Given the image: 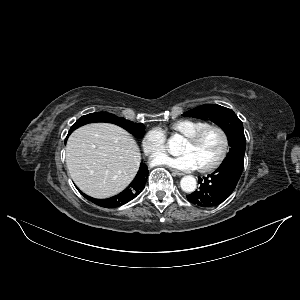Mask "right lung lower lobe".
Returning <instances> with one entry per match:
<instances>
[{
    "label": "right lung lower lobe",
    "instance_id": "98d812e1",
    "mask_svg": "<svg viewBox=\"0 0 300 300\" xmlns=\"http://www.w3.org/2000/svg\"><path fill=\"white\" fill-rule=\"evenodd\" d=\"M148 168L144 163H141L139 171L131 182V184L121 193L115 195L108 199H94L85 194L83 196L90 200L91 202L105 208H114L124 205L125 203L134 199L137 195L141 193L144 189L147 178H148Z\"/></svg>",
    "mask_w": 300,
    "mask_h": 300
}]
</instances>
